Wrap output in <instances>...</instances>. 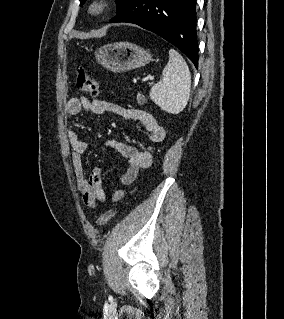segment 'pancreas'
<instances>
[{
    "mask_svg": "<svg viewBox=\"0 0 284 319\" xmlns=\"http://www.w3.org/2000/svg\"><path fill=\"white\" fill-rule=\"evenodd\" d=\"M137 102L140 105H143L144 103L147 102V99L144 95H141L140 93L137 95Z\"/></svg>",
    "mask_w": 284,
    "mask_h": 319,
    "instance_id": "obj_1",
    "label": "pancreas"
}]
</instances>
